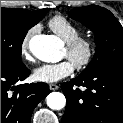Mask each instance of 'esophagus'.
<instances>
[{
	"label": "esophagus",
	"instance_id": "esophagus-1",
	"mask_svg": "<svg viewBox=\"0 0 123 123\" xmlns=\"http://www.w3.org/2000/svg\"><path fill=\"white\" fill-rule=\"evenodd\" d=\"M49 88H50V90H57V89H59V86L58 85H56V84H50L49 85Z\"/></svg>",
	"mask_w": 123,
	"mask_h": 123
}]
</instances>
